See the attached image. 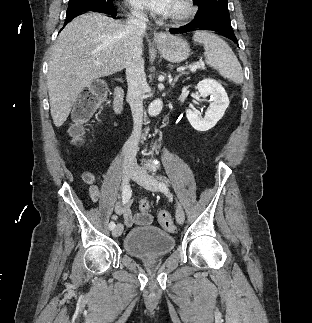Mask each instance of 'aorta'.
<instances>
[{
  "label": "aorta",
  "instance_id": "762f6f07",
  "mask_svg": "<svg viewBox=\"0 0 312 323\" xmlns=\"http://www.w3.org/2000/svg\"><path fill=\"white\" fill-rule=\"evenodd\" d=\"M162 108H163L162 100H154V102H152V104H150L148 108V114H150V116H158Z\"/></svg>",
  "mask_w": 312,
  "mask_h": 323
}]
</instances>
